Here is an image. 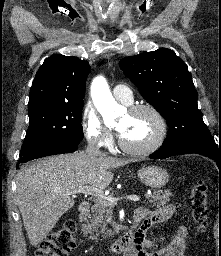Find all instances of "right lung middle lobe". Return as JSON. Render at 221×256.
Segmentation results:
<instances>
[{
  "instance_id": "1",
  "label": "right lung middle lobe",
  "mask_w": 221,
  "mask_h": 256,
  "mask_svg": "<svg viewBox=\"0 0 221 256\" xmlns=\"http://www.w3.org/2000/svg\"><path fill=\"white\" fill-rule=\"evenodd\" d=\"M84 103L47 105L28 110L29 127L20 156L52 141L82 140Z\"/></svg>"
}]
</instances>
